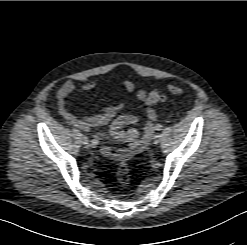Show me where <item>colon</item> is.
I'll return each mask as SVG.
<instances>
[{
    "label": "colon",
    "instance_id": "obj_1",
    "mask_svg": "<svg viewBox=\"0 0 247 245\" xmlns=\"http://www.w3.org/2000/svg\"><path fill=\"white\" fill-rule=\"evenodd\" d=\"M168 89H169V92L174 95H180L183 93V89L179 86L171 85L169 86ZM162 99H163V96L157 91L151 92L148 97V101L151 104H156L160 102ZM116 179L123 186H126L130 183V180H131L130 168L126 161L120 162L117 168Z\"/></svg>",
    "mask_w": 247,
    "mask_h": 245
}]
</instances>
